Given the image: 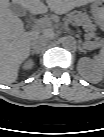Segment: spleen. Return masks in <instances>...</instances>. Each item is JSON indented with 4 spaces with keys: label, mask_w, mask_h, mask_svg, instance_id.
<instances>
[{
    "label": "spleen",
    "mask_w": 104,
    "mask_h": 137,
    "mask_svg": "<svg viewBox=\"0 0 104 137\" xmlns=\"http://www.w3.org/2000/svg\"><path fill=\"white\" fill-rule=\"evenodd\" d=\"M95 62H102V60H100V59H96Z\"/></svg>",
    "instance_id": "3e777b00"
}]
</instances>
